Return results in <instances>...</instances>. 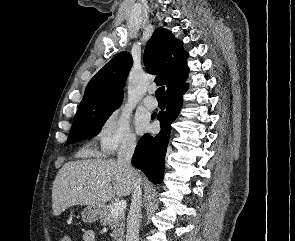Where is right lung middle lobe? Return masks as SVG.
<instances>
[{
	"label": "right lung middle lobe",
	"instance_id": "obj_1",
	"mask_svg": "<svg viewBox=\"0 0 295 241\" xmlns=\"http://www.w3.org/2000/svg\"><path fill=\"white\" fill-rule=\"evenodd\" d=\"M121 102L120 100L93 107L79 108L74 117L67 142L76 143L96 136Z\"/></svg>",
	"mask_w": 295,
	"mask_h": 241
}]
</instances>
